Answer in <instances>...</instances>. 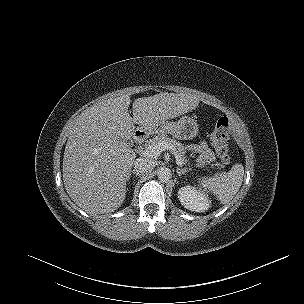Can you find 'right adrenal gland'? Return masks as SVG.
<instances>
[{
    "label": "right adrenal gland",
    "instance_id": "obj_1",
    "mask_svg": "<svg viewBox=\"0 0 304 304\" xmlns=\"http://www.w3.org/2000/svg\"><path fill=\"white\" fill-rule=\"evenodd\" d=\"M132 174H135L136 177H137V176H141V174L138 173V172H136L135 170H129L128 176H127V181L130 180Z\"/></svg>",
    "mask_w": 304,
    "mask_h": 304
}]
</instances>
